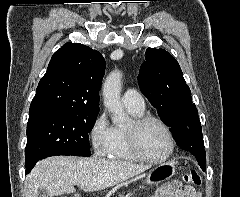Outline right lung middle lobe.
<instances>
[{"instance_id":"dd1d6c3e","label":"right lung middle lobe","mask_w":240,"mask_h":197,"mask_svg":"<svg viewBox=\"0 0 240 197\" xmlns=\"http://www.w3.org/2000/svg\"><path fill=\"white\" fill-rule=\"evenodd\" d=\"M99 111L42 110L29 113L26 169L54 155L91 156L89 136Z\"/></svg>"}]
</instances>
